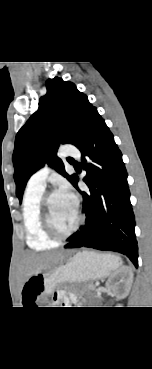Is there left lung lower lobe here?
<instances>
[{
  "label": "left lung lower lobe",
  "instance_id": "1",
  "mask_svg": "<svg viewBox=\"0 0 152 369\" xmlns=\"http://www.w3.org/2000/svg\"><path fill=\"white\" fill-rule=\"evenodd\" d=\"M82 166L87 171L81 191L76 176L73 186L83 196L85 225L75 232L65 248L89 247L126 255L138 266L135 217L130 203L127 171L114 137L97 110L90 117L79 142Z\"/></svg>",
  "mask_w": 152,
  "mask_h": 369
}]
</instances>
